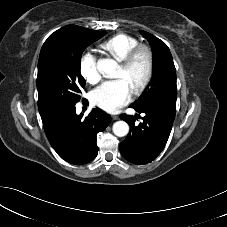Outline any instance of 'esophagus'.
<instances>
[{
  "label": "esophagus",
  "instance_id": "34e87169",
  "mask_svg": "<svg viewBox=\"0 0 227 227\" xmlns=\"http://www.w3.org/2000/svg\"><path fill=\"white\" fill-rule=\"evenodd\" d=\"M112 119L113 120H117L118 119V116H112Z\"/></svg>",
  "mask_w": 227,
  "mask_h": 227
}]
</instances>
